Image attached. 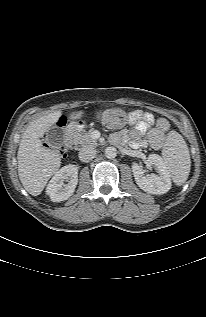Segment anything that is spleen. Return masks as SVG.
<instances>
[{
  "label": "spleen",
  "instance_id": "1",
  "mask_svg": "<svg viewBox=\"0 0 206 317\" xmlns=\"http://www.w3.org/2000/svg\"><path fill=\"white\" fill-rule=\"evenodd\" d=\"M162 159L173 182L181 186L188 179L190 172L189 149L183 137L176 131H170L162 149Z\"/></svg>",
  "mask_w": 206,
  "mask_h": 317
}]
</instances>
